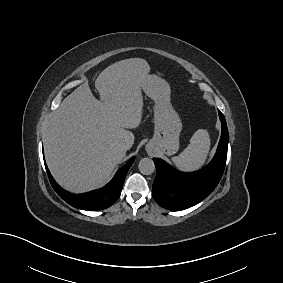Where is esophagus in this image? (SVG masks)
Segmentation results:
<instances>
[{"mask_svg": "<svg viewBox=\"0 0 283 283\" xmlns=\"http://www.w3.org/2000/svg\"><path fill=\"white\" fill-rule=\"evenodd\" d=\"M148 152H149L150 154H152L154 151L152 150V148H149V149H148Z\"/></svg>", "mask_w": 283, "mask_h": 283, "instance_id": "34e87169", "label": "esophagus"}]
</instances>
